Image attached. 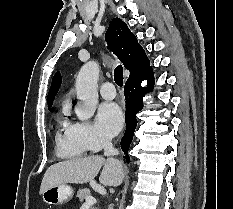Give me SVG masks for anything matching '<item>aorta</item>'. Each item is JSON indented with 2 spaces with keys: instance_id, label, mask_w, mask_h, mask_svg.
Listing matches in <instances>:
<instances>
[{
  "instance_id": "1",
  "label": "aorta",
  "mask_w": 233,
  "mask_h": 209,
  "mask_svg": "<svg viewBox=\"0 0 233 209\" xmlns=\"http://www.w3.org/2000/svg\"><path fill=\"white\" fill-rule=\"evenodd\" d=\"M99 72V65L89 61L82 66L78 73L75 86L79 104L75 109V113L82 121L90 119L95 113L98 103L97 83Z\"/></svg>"
}]
</instances>
